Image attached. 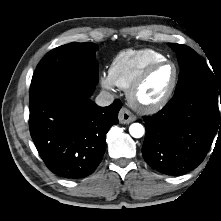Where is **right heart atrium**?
<instances>
[{
    "mask_svg": "<svg viewBox=\"0 0 221 221\" xmlns=\"http://www.w3.org/2000/svg\"><path fill=\"white\" fill-rule=\"evenodd\" d=\"M100 83L103 88L108 89V90L114 89V86H115L109 74H102L100 76Z\"/></svg>",
    "mask_w": 221,
    "mask_h": 221,
    "instance_id": "obj_1",
    "label": "right heart atrium"
}]
</instances>
